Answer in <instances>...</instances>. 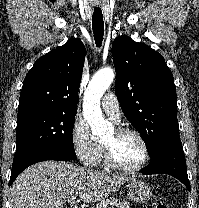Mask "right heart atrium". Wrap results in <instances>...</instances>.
<instances>
[{
    "instance_id": "1",
    "label": "right heart atrium",
    "mask_w": 199,
    "mask_h": 208,
    "mask_svg": "<svg viewBox=\"0 0 199 208\" xmlns=\"http://www.w3.org/2000/svg\"><path fill=\"white\" fill-rule=\"evenodd\" d=\"M72 147L79 159L87 166H95L101 153V146L91 136L88 125L76 118L71 129Z\"/></svg>"
}]
</instances>
